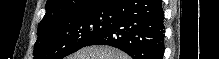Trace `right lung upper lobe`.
Wrapping results in <instances>:
<instances>
[{
    "mask_svg": "<svg viewBox=\"0 0 219 59\" xmlns=\"http://www.w3.org/2000/svg\"><path fill=\"white\" fill-rule=\"evenodd\" d=\"M117 2L118 0H48L46 14L40 24L58 18L113 9Z\"/></svg>",
    "mask_w": 219,
    "mask_h": 59,
    "instance_id": "1",
    "label": "right lung upper lobe"
}]
</instances>
